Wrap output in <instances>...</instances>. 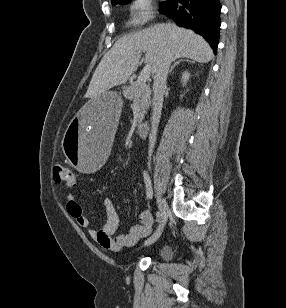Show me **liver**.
Returning a JSON list of instances; mask_svg holds the SVG:
<instances>
[{
    "label": "liver",
    "mask_w": 286,
    "mask_h": 308,
    "mask_svg": "<svg viewBox=\"0 0 286 308\" xmlns=\"http://www.w3.org/2000/svg\"><path fill=\"white\" fill-rule=\"evenodd\" d=\"M168 51L174 58L186 57L199 63L213 58L212 49L200 35L175 24H156L115 42L97 66L86 97L94 102L109 89L126 83L137 70L142 52H146L145 63L155 74Z\"/></svg>",
    "instance_id": "1"
}]
</instances>
